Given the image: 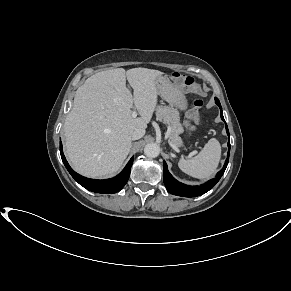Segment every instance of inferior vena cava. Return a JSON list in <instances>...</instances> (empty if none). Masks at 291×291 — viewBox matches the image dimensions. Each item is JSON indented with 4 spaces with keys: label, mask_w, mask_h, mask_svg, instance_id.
Instances as JSON below:
<instances>
[{
    "label": "inferior vena cava",
    "mask_w": 291,
    "mask_h": 291,
    "mask_svg": "<svg viewBox=\"0 0 291 291\" xmlns=\"http://www.w3.org/2000/svg\"><path fill=\"white\" fill-rule=\"evenodd\" d=\"M145 134V130L144 129H135L133 132H132V135H131V139L132 140H138L140 138H142Z\"/></svg>",
    "instance_id": "1"
}]
</instances>
